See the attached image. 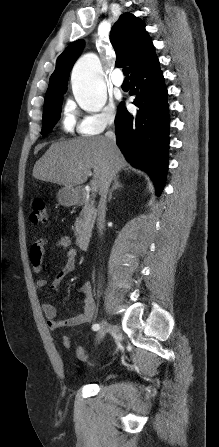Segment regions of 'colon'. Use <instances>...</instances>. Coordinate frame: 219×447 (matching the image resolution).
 Returning <instances> with one entry per match:
<instances>
[{
	"mask_svg": "<svg viewBox=\"0 0 219 447\" xmlns=\"http://www.w3.org/2000/svg\"><path fill=\"white\" fill-rule=\"evenodd\" d=\"M29 219L33 225H40L46 222L47 213L44 199L36 198L33 200L29 213Z\"/></svg>",
	"mask_w": 219,
	"mask_h": 447,
	"instance_id": "obj_1",
	"label": "colon"
}]
</instances>
